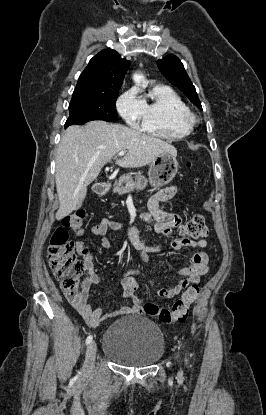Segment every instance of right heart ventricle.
<instances>
[{"label": "right heart ventricle", "mask_w": 266, "mask_h": 415, "mask_svg": "<svg viewBox=\"0 0 266 415\" xmlns=\"http://www.w3.org/2000/svg\"><path fill=\"white\" fill-rule=\"evenodd\" d=\"M143 104V131L169 140L180 139L191 133L193 125L187 119L188 106L171 87H152Z\"/></svg>", "instance_id": "e07e8e85"}]
</instances>
